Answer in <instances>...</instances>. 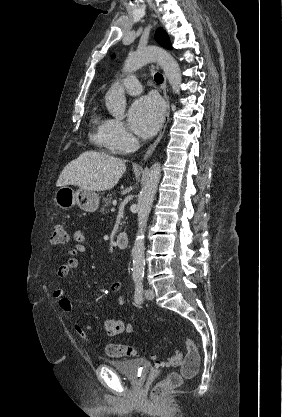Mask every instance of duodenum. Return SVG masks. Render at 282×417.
Wrapping results in <instances>:
<instances>
[{"label":"duodenum","instance_id":"1","mask_svg":"<svg viewBox=\"0 0 282 417\" xmlns=\"http://www.w3.org/2000/svg\"><path fill=\"white\" fill-rule=\"evenodd\" d=\"M115 244L120 249H126L128 246V235L126 233H119L115 236Z\"/></svg>","mask_w":282,"mask_h":417}]
</instances>
